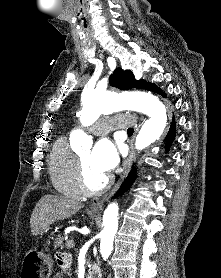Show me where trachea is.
I'll return each mask as SVG.
<instances>
[{
	"label": "trachea",
	"mask_w": 221,
	"mask_h": 278,
	"mask_svg": "<svg viewBox=\"0 0 221 278\" xmlns=\"http://www.w3.org/2000/svg\"><path fill=\"white\" fill-rule=\"evenodd\" d=\"M133 132H134V129H133V128H129V129L127 130V133H128V134H133Z\"/></svg>",
	"instance_id": "trachea-1"
}]
</instances>
